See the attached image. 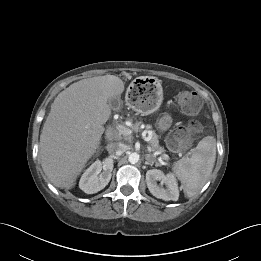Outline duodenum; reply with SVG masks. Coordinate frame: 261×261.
Segmentation results:
<instances>
[{
	"mask_svg": "<svg viewBox=\"0 0 261 261\" xmlns=\"http://www.w3.org/2000/svg\"><path fill=\"white\" fill-rule=\"evenodd\" d=\"M107 133H108L109 135H112V134H113L112 128H108Z\"/></svg>",
	"mask_w": 261,
	"mask_h": 261,
	"instance_id": "1",
	"label": "duodenum"
}]
</instances>
